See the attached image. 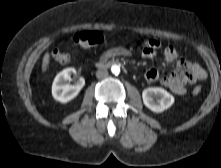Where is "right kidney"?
I'll use <instances>...</instances> for the list:
<instances>
[{"label":"right kidney","instance_id":"ca27d5eb","mask_svg":"<svg viewBox=\"0 0 221 168\" xmlns=\"http://www.w3.org/2000/svg\"><path fill=\"white\" fill-rule=\"evenodd\" d=\"M73 72L74 68H66L55 77L52 85V96L55 100L67 103L74 99L85 85L83 78H80L76 84L69 83Z\"/></svg>","mask_w":221,"mask_h":168}]
</instances>
